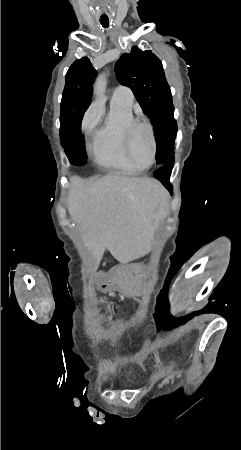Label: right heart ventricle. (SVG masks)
<instances>
[{"label": "right heart ventricle", "instance_id": "e07e8e85", "mask_svg": "<svg viewBox=\"0 0 241 450\" xmlns=\"http://www.w3.org/2000/svg\"><path fill=\"white\" fill-rule=\"evenodd\" d=\"M131 104L122 101H113L111 111L102 125L96 130H85L89 151L95 161L102 166L121 169H130L136 161L127 162V153H123L124 143L120 141L123 135V124L132 119ZM131 152L132 148H131Z\"/></svg>", "mask_w": 241, "mask_h": 450}]
</instances>
